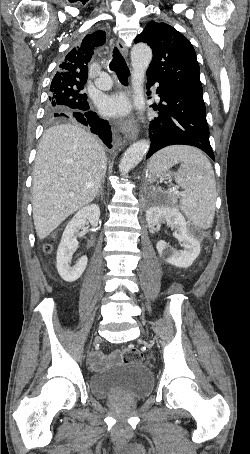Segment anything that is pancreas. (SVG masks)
Instances as JSON below:
<instances>
[{
    "label": "pancreas",
    "mask_w": 250,
    "mask_h": 454,
    "mask_svg": "<svg viewBox=\"0 0 250 454\" xmlns=\"http://www.w3.org/2000/svg\"><path fill=\"white\" fill-rule=\"evenodd\" d=\"M168 197L171 201L173 202H176L177 201V196L172 194V193H168Z\"/></svg>",
    "instance_id": "cf45deb5"
}]
</instances>
